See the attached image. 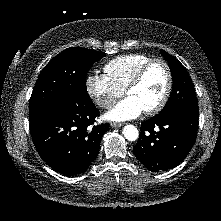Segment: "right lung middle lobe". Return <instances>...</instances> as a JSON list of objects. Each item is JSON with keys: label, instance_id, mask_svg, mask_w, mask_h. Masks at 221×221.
<instances>
[{"label": "right lung middle lobe", "instance_id": "obj_1", "mask_svg": "<svg viewBox=\"0 0 221 221\" xmlns=\"http://www.w3.org/2000/svg\"><path fill=\"white\" fill-rule=\"evenodd\" d=\"M105 55L86 48L71 47L53 58L36 81L30 97L29 120L61 100L89 101L86 75L89 68Z\"/></svg>", "mask_w": 221, "mask_h": 221}]
</instances>
